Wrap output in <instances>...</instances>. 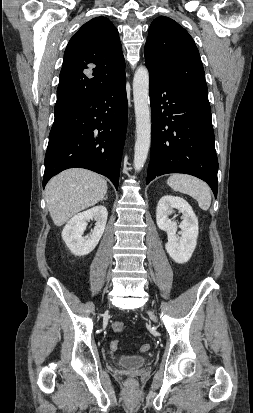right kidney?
<instances>
[{"instance_id": "obj_1", "label": "right kidney", "mask_w": 253, "mask_h": 413, "mask_svg": "<svg viewBox=\"0 0 253 413\" xmlns=\"http://www.w3.org/2000/svg\"><path fill=\"white\" fill-rule=\"evenodd\" d=\"M107 217V209L101 205L72 217L62 231V239L69 250L76 256H84L92 252L104 233ZM90 219H94L96 224L90 236L85 238L83 233Z\"/></svg>"}]
</instances>
